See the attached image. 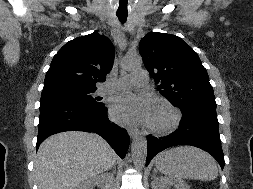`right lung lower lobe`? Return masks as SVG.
<instances>
[{
	"label": "right lung lower lobe",
	"mask_w": 253,
	"mask_h": 189,
	"mask_svg": "<svg viewBox=\"0 0 253 189\" xmlns=\"http://www.w3.org/2000/svg\"><path fill=\"white\" fill-rule=\"evenodd\" d=\"M70 130L99 134L121 158L125 157L129 148L130 139L126 130L109 121L104 104L92 106L65 101L41 102L36 151L48 136Z\"/></svg>",
	"instance_id": "right-lung-lower-lobe-1"
}]
</instances>
